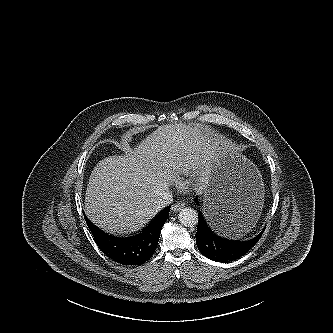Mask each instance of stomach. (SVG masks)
Segmentation results:
<instances>
[{
    "label": "stomach",
    "instance_id": "obj_1",
    "mask_svg": "<svg viewBox=\"0 0 333 333\" xmlns=\"http://www.w3.org/2000/svg\"><path fill=\"white\" fill-rule=\"evenodd\" d=\"M204 191V211L212 230L240 236L253 228L264 203V184L253 162L226 142L215 140Z\"/></svg>",
    "mask_w": 333,
    "mask_h": 333
}]
</instances>
